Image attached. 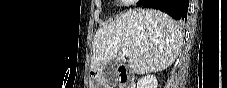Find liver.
I'll return each instance as SVG.
<instances>
[{"label": "liver", "mask_w": 227, "mask_h": 88, "mask_svg": "<svg viewBox=\"0 0 227 88\" xmlns=\"http://www.w3.org/2000/svg\"><path fill=\"white\" fill-rule=\"evenodd\" d=\"M182 42V27L167 14L155 9H130L97 30L91 68L98 70L118 60L128 62L136 74L162 71L175 61ZM120 48L130 51L128 60Z\"/></svg>", "instance_id": "obj_1"}]
</instances>
